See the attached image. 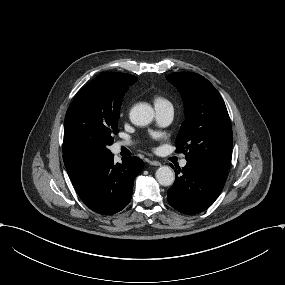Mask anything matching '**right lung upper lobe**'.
Returning <instances> with one entry per match:
<instances>
[{"instance_id": "obj_1", "label": "right lung upper lobe", "mask_w": 285, "mask_h": 285, "mask_svg": "<svg viewBox=\"0 0 285 285\" xmlns=\"http://www.w3.org/2000/svg\"><path fill=\"white\" fill-rule=\"evenodd\" d=\"M136 80L135 76L127 73L104 72L84 86L78 92L76 98L84 103H102L125 93L128 86ZM109 157L110 155L76 154L63 151L64 164L72 183Z\"/></svg>"}]
</instances>
